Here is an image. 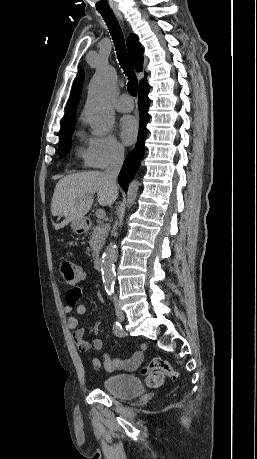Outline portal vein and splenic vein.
<instances>
[{"label":"portal vein and splenic vein","mask_w":257,"mask_h":459,"mask_svg":"<svg viewBox=\"0 0 257 459\" xmlns=\"http://www.w3.org/2000/svg\"><path fill=\"white\" fill-rule=\"evenodd\" d=\"M96 216H97V218H99V219H104L105 216H106V213H105L104 210H97V211H96Z\"/></svg>","instance_id":"obj_1"}]
</instances>
